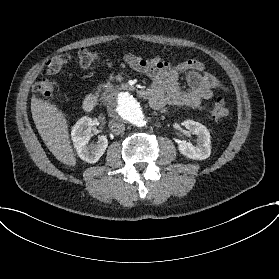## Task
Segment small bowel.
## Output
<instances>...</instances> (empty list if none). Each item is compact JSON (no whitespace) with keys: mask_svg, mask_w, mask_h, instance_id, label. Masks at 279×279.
I'll list each match as a JSON object with an SVG mask.
<instances>
[{"mask_svg":"<svg viewBox=\"0 0 279 279\" xmlns=\"http://www.w3.org/2000/svg\"><path fill=\"white\" fill-rule=\"evenodd\" d=\"M124 59L132 69L151 80L147 94L149 105L155 110L164 111L170 106L196 108L210 99L215 89L222 88L218 78L206 72L203 62L196 59L171 62L159 56L141 57L132 53ZM182 73H187V89L179 82Z\"/></svg>","mask_w":279,"mask_h":279,"instance_id":"1","label":"small bowel"}]
</instances>
